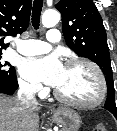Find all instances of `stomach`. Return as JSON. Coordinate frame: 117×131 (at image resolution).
Masks as SVG:
<instances>
[{"label": "stomach", "instance_id": "stomach-1", "mask_svg": "<svg viewBox=\"0 0 117 131\" xmlns=\"http://www.w3.org/2000/svg\"><path fill=\"white\" fill-rule=\"evenodd\" d=\"M53 120L62 126V131H78L81 126V117L71 108L60 107L53 113Z\"/></svg>", "mask_w": 117, "mask_h": 131}]
</instances>
